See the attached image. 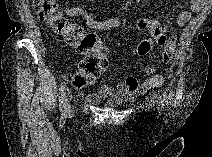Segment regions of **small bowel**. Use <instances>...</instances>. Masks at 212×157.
<instances>
[{"label": "small bowel", "mask_w": 212, "mask_h": 157, "mask_svg": "<svg viewBox=\"0 0 212 157\" xmlns=\"http://www.w3.org/2000/svg\"><path fill=\"white\" fill-rule=\"evenodd\" d=\"M202 2L200 0H191V9H184L179 12L176 18V23L180 27H184L190 21L192 12L201 8ZM65 13L69 17H81L85 20L86 24L95 30L107 31L116 30L121 26V22L117 18H110L104 21L95 19L85 8L81 6H66ZM140 29L150 32L154 36H164L161 45L163 46L162 60L168 63L175 51V36H167L161 24L151 18H140L137 21ZM164 84V75L154 72V67H150L145 71V79L139 82L137 77L130 75L124 80L119 81L115 86L111 84H104L102 88L93 94H88L86 99L91 104L98 103L102 98L112 96H129L136 97L147 92L151 88L161 87Z\"/></svg>", "instance_id": "small-bowel-1"}]
</instances>
